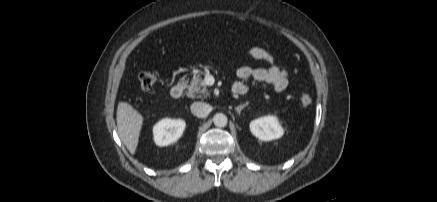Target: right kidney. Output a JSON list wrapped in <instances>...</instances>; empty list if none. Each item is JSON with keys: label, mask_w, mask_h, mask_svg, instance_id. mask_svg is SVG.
Instances as JSON below:
<instances>
[{"label": "right kidney", "mask_w": 437, "mask_h": 202, "mask_svg": "<svg viewBox=\"0 0 437 202\" xmlns=\"http://www.w3.org/2000/svg\"><path fill=\"white\" fill-rule=\"evenodd\" d=\"M186 123L181 119H162L153 127L154 142L158 146H168L183 134Z\"/></svg>", "instance_id": "1"}]
</instances>
